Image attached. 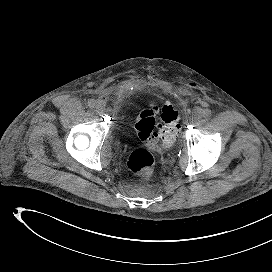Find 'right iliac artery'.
<instances>
[{"label": "right iliac artery", "mask_w": 272, "mask_h": 272, "mask_svg": "<svg viewBox=\"0 0 272 272\" xmlns=\"http://www.w3.org/2000/svg\"><path fill=\"white\" fill-rule=\"evenodd\" d=\"M87 104L90 108H93L96 105V101L94 99H88Z\"/></svg>", "instance_id": "right-iliac-artery-1"}]
</instances>
